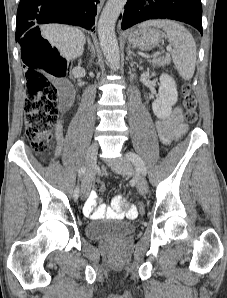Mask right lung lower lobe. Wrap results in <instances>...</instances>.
<instances>
[{"label": "right lung lower lobe", "instance_id": "98d812e1", "mask_svg": "<svg viewBox=\"0 0 227 298\" xmlns=\"http://www.w3.org/2000/svg\"><path fill=\"white\" fill-rule=\"evenodd\" d=\"M99 0H20L16 18V41L40 35L36 24L63 23L94 30Z\"/></svg>", "mask_w": 227, "mask_h": 298}]
</instances>
